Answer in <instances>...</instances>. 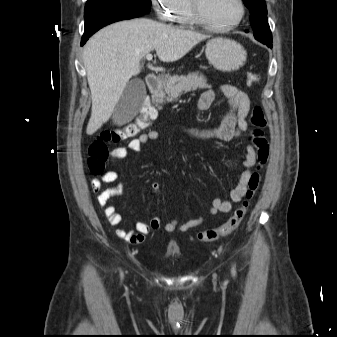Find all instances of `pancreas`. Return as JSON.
<instances>
[{
    "label": "pancreas",
    "instance_id": "1",
    "mask_svg": "<svg viewBox=\"0 0 337 337\" xmlns=\"http://www.w3.org/2000/svg\"><path fill=\"white\" fill-rule=\"evenodd\" d=\"M208 87L210 86L206 83L205 77L198 72L186 76H173L154 91L152 100L156 104H162L165 100L171 102L183 93Z\"/></svg>",
    "mask_w": 337,
    "mask_h": 337
}]
</instances>
